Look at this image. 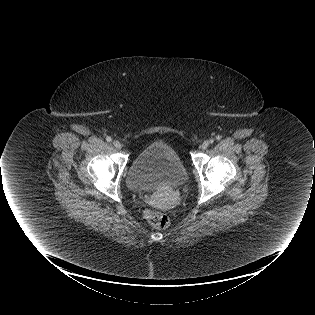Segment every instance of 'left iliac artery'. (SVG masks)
<instances>
[{"label":"left iliac artery","instance_id":"44dca946","mask_svg":"<svg viewBox=\"0 0 315 315\" xmlns=\"http://www.w3.org/2000/svg\"><path fill=\"white\" fill-rule=\"evenodd\" d=\"M216 139H217V140H220V139H221V136L218 135V136L216 137ZM212 142H213V140H211V143H212Z\"/></svg>","mask_w":315,"mask_h":315}]
</instances>
